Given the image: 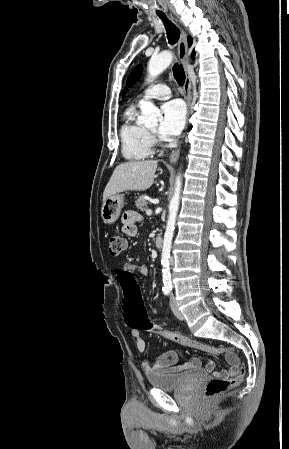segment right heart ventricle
Instances as JSON below:
<instances>
[{"instance_id":"1","label":"right heart ventricle","mask_w":289,"mask_h":449,"mask_svg":"<svg viewBox=\"0 0 289 449\" xmlns=\"http://www.w3.org/2000/svg\"><path fill=\"white\" fill-rule=\"evenodd\" d=\"M122 153L131 160L149 157L152 152V140L148 130L135 118V109L130 108L124 115L120 130Z\"/></svg>"}]
</instances>
